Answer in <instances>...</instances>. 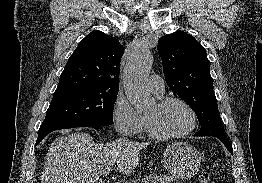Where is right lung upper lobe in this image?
I'll list each match as a JSON object with an SVG mask.
<instances>
[{
	"label": "right lung upper lobe",
	"instance_id": "cb5924a9",
	"mask_svg": "<svg viewBox=\"0 0 262 183\" xmlns=\"http://www.w3.org/2000/svg\"><path fill=\"white\" fill-rule=\"evenodd\" d=\"M123 50L114 37L91 32L70 56L54 93L75 89L118 91Z\"/></svg>",
	"mask_w": 262,
	"mask_h": 183
}]
</instances>
